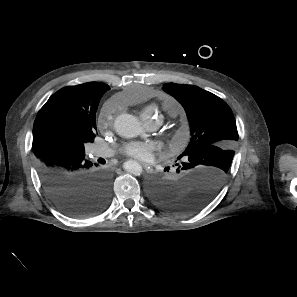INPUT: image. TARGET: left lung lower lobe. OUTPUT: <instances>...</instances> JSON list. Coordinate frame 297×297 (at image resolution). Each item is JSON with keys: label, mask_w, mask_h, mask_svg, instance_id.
Here are the masks:
<instances>
[{"label": "left lung lower lobe", "mask_w": 297, "mask_h": 297, "mask_svg": "<svg viewBox=\"0 0 297 297\" xmlns=\"http://www.w3.org/2000/svg\"><path fill=\"white\" fill-rule=\"evenodd\" d=\"M178 166L180 175L174 179L150 181L151 199L157 206L174 213L197 212L216 196L226 176L218 168H188L186 163Z\"/></svg>", "instance_id": "left-lung-lower-lobe-1"}]
</instances>
